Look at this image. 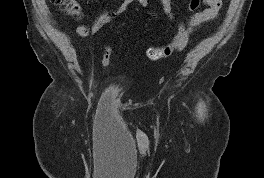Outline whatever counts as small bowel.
<instances>
[{
	"instance_id": "1",
	"label": "small bowel",
	"mask_w": 264,
	"mask_h": 178,
	"mask_svg": "<svg viewBox=\"0 0 264 178\" xmlns=\"http://www.w3.org/2000/svg\"><path fill=\"white\" fill-rule=\"evenodd\" d=\"M164 14L169 20L174 19V13L172 11L171 0H160ZM138 4L141 6L148 15L158 20L157 13L152 11L149 7V0H119L113 9H106L103 11L96 20L89 26L80 25L77 27V33L80 36H90L107 25H109L116 17L124 13L131 5ZM206 8L196 14H194L189 22V28L193 31L205 22L213 20L220 8L222 7V0H204Z\"/></svg>"
}]
</instances>
